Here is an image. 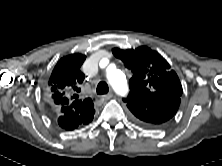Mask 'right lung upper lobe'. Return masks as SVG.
<instances>
[{"instance_id": "1", "label": "right lung upper lobe", "mask_w": 222, "mask_h": 166, "mask_svg": "<svg viewBox=\"0 0 222 166\" xmlns=\"http://www.w3.org/2000/svg\"><path fill=\"white\" fill-rule=\"evenodd\" d=\"M85 55L75 53L64 56L55 65L46 82V98L55 115H65L79 124L89 123L94 117V104L91 98L79 97V85L84 80L81 66Z\"/></svg>"}]
</instances>
